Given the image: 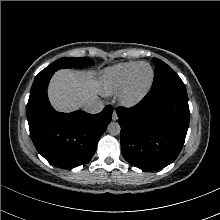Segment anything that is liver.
Here are the masks:
<instances>
[{"instance_id":"obj_1","label":"liver","mask_w":220,"mask_h":220,"mask_svg":"<svg viewBox=\"0 0 220 220\" xmlns=\"http://www.w3.org/2000/svg\"><path fill=\"white\" fill-rule=\"evenodd\" d=\"M98 83L91 72L62 69L50 81L48 96L52 106L61 112L84 107L97 98Z\"/></svg>"}]
</instances>
